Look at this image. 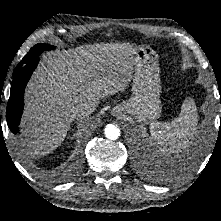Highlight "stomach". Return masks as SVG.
I'll return each mask as SVG.
<instances>
[{
    "label": "stomach",
    "mask_w": 221,
    "mask_h": 221,
    "mask_svg": "<svg viewBox=\"0 0 221 221\" xmlns=\"http://www.w3.org/2000/svg\"><path fill=\"white\" fill-rule=\"evenodd\" d=\"M135 58L132 95L116 108H122L138 122L146 123L161 113L158 56L149 46H139Z\"/></svg>",
    "instance_id": "obj_1"
}]
</instances>
